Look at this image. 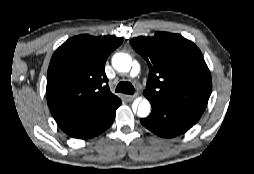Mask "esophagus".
I'll return each instance as SVG.
<instances>
[{
	"label": "esophagus",
	"mask_w": 254,
	"mask_h": 174,
	"mask_svg": "<svg viewBox=\"0 0 254 174\" xmlns=\"http://www.w3.org/2000/svg\"><path fill=\"white\" fill-rule=\"evenodd\" d=\"M135 97V95H125L127 101H132Z\"/></svg>",
	"instance_id": "34e87169"
}]
</instances>
